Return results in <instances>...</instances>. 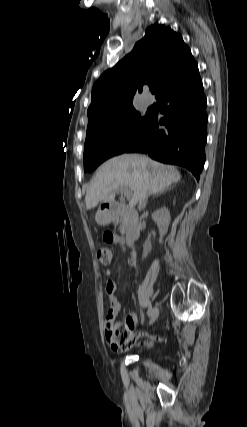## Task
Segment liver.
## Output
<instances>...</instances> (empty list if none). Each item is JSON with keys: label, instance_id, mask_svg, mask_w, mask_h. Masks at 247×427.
<instances>
[{"label": "liver", "instance_id": "liver-1", "mask_svg": "<svg viewBox=\"0 0 247 427\" xmlns=\"http://www.w3.org/2000/svg\"><path fill=\"white\" fill-rule=\"evenodd\" d=\"M180 178L176 167L146 156L123 154L113 157L101 165L88 186L86 209L91 210L99 203L112 202L119 188H129L133 192L131 202L136 204L147 192H161Z\"/></svg>", "mask_w": 247, "mask_h": 427}]
</instances>
